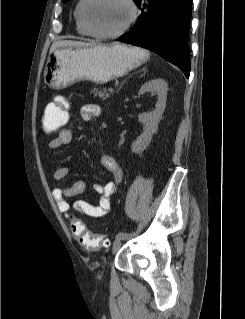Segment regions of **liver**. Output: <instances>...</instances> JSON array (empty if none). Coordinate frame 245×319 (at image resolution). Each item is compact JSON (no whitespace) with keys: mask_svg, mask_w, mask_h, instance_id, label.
Listing matches in <instances>:
<instances>
[{"mask_svg":"<svg viewBox=\"0 0 245 319\" xmlns=\"http://www.w3.org/2000/svg\"><path fill=\"white\" fill-rule=\"evenodd\" d=\"M94 43H85L81 41H71V40H65V41H57L53 43V45L50 48V53L54 52L59 47H82V46H93Z\"/></svg>","mask_w":245,"mask_h":319,"instance_id":"obj_1","label":"liver"}]
</instances>
